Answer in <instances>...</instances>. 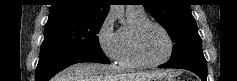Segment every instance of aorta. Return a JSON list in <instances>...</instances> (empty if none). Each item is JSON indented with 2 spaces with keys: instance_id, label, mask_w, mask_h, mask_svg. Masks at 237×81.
Here are the masks:
<instances>
[{
  "instance_id": "aorta-1",
  "label": "aorta",
  "mask_w": 237,
  "mask_h": 81,
  "mask_svg": "<svg viewBox=\"0 0 237 81\" xmlns=\"http://www.w3.org/2000/svg\"><path fill=\"white\" fill-rule=\"evenodd\" d=\"M110 13L114 14L121 23L125 24L123 5H111Z\"/></svg>"
}]
</instances>
